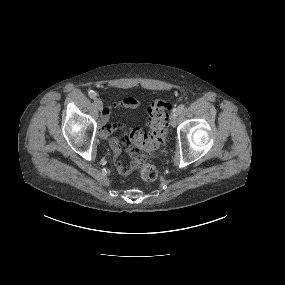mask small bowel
Wrapping results in <instances>:
<instances>
[{"label": "small bowel", "mask_w": 285, "mask_h": 285, "mask_svg": "<svg viewBox=\"0 0 285 285\" xmlns=\"http://www.w3.org/2000/svg\"><path fill=\"white\" fill-rule=\"evenodd\" d=\"M139 106H140V101L133 97H125L123 99L114 101L111 104L107 105L104 108L102 115H101V123L103 124V127L100 130V136L102 138H108L114 131H116L119 128V125L117 124L106 125L109 119V116L113 110L118 109V108H137ZM113 126H116V130L113 129ZM112 141H113V145H111V148L115 156L116 169L121 175H127L130 172V168L126 164L122 163L121 161L117 159L121 151L120 143L117 139H114V138L111 139L110 142Z\"/></svg>", "instance_id": "1"}]
</instances>
